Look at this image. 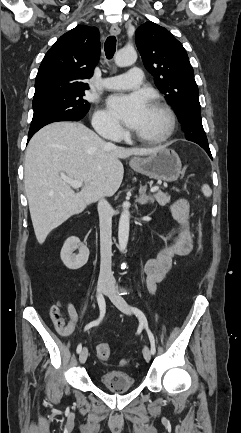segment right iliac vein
<instances>
[{
	"label": "right iliac vein",
	"mask_w": 241,
	"mask_h": 433,
	"mask_svg": "<svg viewBox=\"0 0 241 433\" xmlns=\"http://www.w3.org/2000/svg\"><path fill=\"white\" fill-rule=\"evenodd\" d=\"M108 288V282L107 281H99L97 284V293L98 295H102V293ZM88 357V349L84 348L80 355H79V361L81 364L85 363L86 359Z\"/></svg>",
	"instance_id": "right-iliac-vein-1"
}]
</instances>
